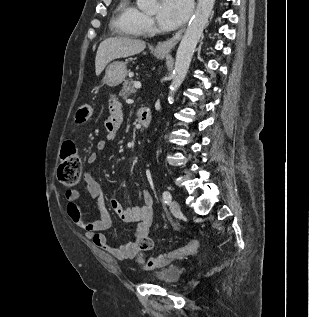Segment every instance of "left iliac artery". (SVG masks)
I'll return each mask as SVG.
<instances>
[{
  "label": "left iliac artery",
  "instance_id": "obj_1",
  "mask_svg": "<svg viewBox=\"0 0 309 317\" xmlns=\"http://www.w3.org/2000/svg\"><path fill=\"white\" fill-rule=\"evenodd\" d=\"M162 196H163V201H164L165 203L168 204V203L171 202L172 196H171V193H170L169 191H164L163 194H162Z\"/></svg>",
  "mask_w": 309,
  "mask_h": 317
}]
</instances>
